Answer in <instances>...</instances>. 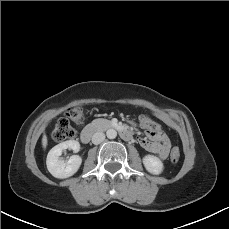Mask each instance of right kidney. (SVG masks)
<instances>
[{
  "instance_id": "1",
  "label": "right kidney",
  "mask_w": 229,
  "mask_h": 229,
  "mask_svg": "<svg viewBox=\"0 0 229 229\" xmlns=\"http://www.w3.org/2000/svg\"><path fill=\"white\" fill-rule=\"evenodd\" d=\"M65 149H72L74 152H78L80 150V144L78 141L68 140L54 146L49 151L46 165L48 171L55 178L64 179L74 175L82 163V158L78 155L71 156L68 161L59 159V156Z\"/></svg>"
}]
</instances>
